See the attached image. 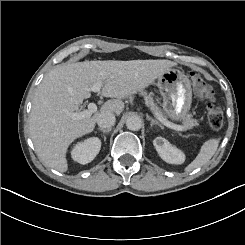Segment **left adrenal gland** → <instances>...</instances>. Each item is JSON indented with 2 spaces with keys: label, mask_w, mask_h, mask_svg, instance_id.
Masks as SVG:
<instances>
[{
  "label": "left adrenal gland",
  "mask_w": 245,
  "mask_h": 245,
  "mask_svg": "<svg viewBox=\"0 0 245 245\" xmlns=\"http://www.w3.org/2000/svg\"><path fill=\"white\" fill-rule=\"evenodd\" d=\"M146 118H147L148 120H150V126H152L154 123H156V124H158L159 126L163 127V125H162L159 121L153 119L152 116L148 115V113H146Z\"/></svg>",
  "instance_id": "left-adrenal-gland-1"
}]
</instances>
